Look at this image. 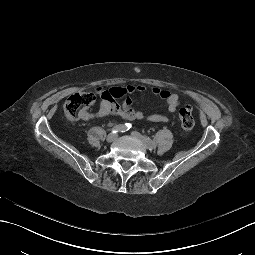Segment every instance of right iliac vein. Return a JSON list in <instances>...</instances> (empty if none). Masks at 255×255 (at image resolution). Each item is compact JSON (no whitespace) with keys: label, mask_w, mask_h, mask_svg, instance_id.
<instances>
[{"label":"right iliac vein","mask_w":255,"mask_h":255,"mask_svg":"<svg viewBox=\"0 0 255 255\" xmlns=\"http://www.w3.org/2000/svg\"><path fill=\"white\" fill-rule=\"evenodd\" d=\"M117 139V134L116 133H111L107 137V142L111 143L114 142Z\"/></svg>","instance_id":"1"}]
</instances>
